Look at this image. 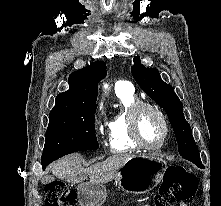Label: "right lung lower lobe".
I'll use <instances>...</instances> for the list:
<instances>
[{
    "mask_svg": "<svg viewBox=\"0 0 221 206\" xmlns=\"http://www.w3.org/2000/svg\"><path fill=\"white\" fill-rule=\"evenodd\" d=\"M50 164V163H45V164H42V168L45 169V167Z\"/></svg>",
    "mask_w": 221,
    "mask_h": 206,
    "instance_id": "obj_1",
    "label": "right lung lower lobe"
}]
</instances>
